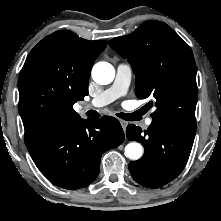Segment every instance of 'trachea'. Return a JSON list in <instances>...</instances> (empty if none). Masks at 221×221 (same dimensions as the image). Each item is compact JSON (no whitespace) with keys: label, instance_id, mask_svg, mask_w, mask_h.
Wrapping results in <instances>:
<instances>
[{"label":"trachea","instance_id":"trachea-1","mask_svg":"<svg viewBox=\"0 0 221 221\" xmlns=\"http://www.w3.org/2000/svg\"><path fill=\"white\" fill-rule=\"evenodd\" d=\"M116 115L127 121H133L135 119L133 114L117 113Z\"/></svg>","mask_w":221,"mask_h":221}]
</instances>
